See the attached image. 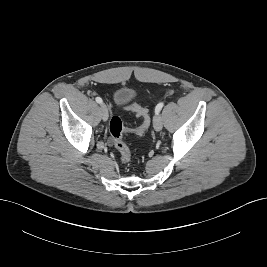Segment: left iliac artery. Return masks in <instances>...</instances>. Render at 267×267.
<instances>
[{
    "label": "left iliac artery",
    "mask_w": 267,
    "mask_h": 267,
    "mask_svg": "<svg viewBox=\"0 0 267 267\" xmlns=\"http://www.w3.org/2000/svg\"><path fill=\"white\" fill-rule=\"evenodd\" d=\"M164 106V103L163 102H160L156 108H155V114H159V112L161 111V109L163 108Z\"/></svg>",
    "instance_id": "left-iliac-artery-1"
}]
</instances>
